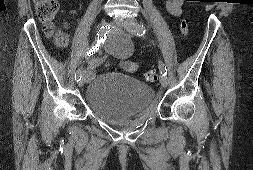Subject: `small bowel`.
<instances>
[{
  "instance_id": "obj_1",
  "label": "small bowel",
  "mask_w": 253,
  "mask_h": 170,
  "mask_svg": "<svg viewBox=\"0 0 253 170\" xmlns=\"http://www.w3.org/2000/svg\"><path fill=\"white\" fill-rule=\"evenodd\" d=\"M184 0H167L165 3V7L167 12L174 17H179L182 14V4H183ZM128 42L127 40H124L121 43V46H128ZM103 58L102 57H94L92 59H90L89 63H88V68H89V72L91 74V76L93 75V71L94 69L103 62ZM120 66L128 71V72H133L136 71L138 69V63L132 60H128L125 58V56H123L120 60Z\"/></svg>"
}]
</instances>
